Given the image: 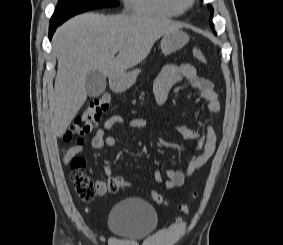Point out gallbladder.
<instances>
[{"label":"gallbladder","instance_id":"bac80fb5","mask_svg":"<svg viewBox=\"0 0 283 245\" xmlns=\"http://www.w3.org/2000/svg\"><path fill=\"white\" fill-rule=\"evenodd\" d=\"M85 89L90 97L101 96L106 89V77L99 71H90L85 80Z\"/></svg>","mask_w":283,"mask_h":245}]
</instances>
